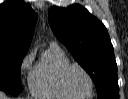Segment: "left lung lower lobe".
<instances>
[{
  "label": "left lung lower lobe",
  "mask_w": 128,
  "mask_h": 99,
  "mask_svg": "<svg viewBox=\"0 0 128 99\" xmlns=\"http://www.w3.org/2000/svg\"><path fill=\"white\" fill-rule=\"evenodd\" d=\"M101 99H119V89L117 91L105 93Z\"/></svg>",
  "instance_id": "0a47b994"
}]
</instances>
